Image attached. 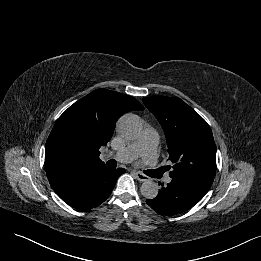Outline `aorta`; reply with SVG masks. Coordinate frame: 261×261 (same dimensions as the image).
Instances as JSON below:
<instances>
[{
	"label": "aorta",
	"mask_w": 261,
	"mask_h": 261,
	"mask_svg": "<svg viewBox=\"0 0 261 261\" xmlns=\"http://www.w3.org/2000/svg\"><path fill=\"white\" fill-rule=\"evenodd\" d=\"M142 130L140 119L136 115H125L118 122L119 134L127 139H136ZM141 194L146 199H154L159 192V186L156 182L147 179L140 187Z\"/></svg>",
	"instance_id": "aorta-1"
}]
</instances>
